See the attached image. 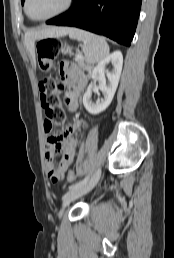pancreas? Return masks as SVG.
I'll use <instances>...</instances> for the list:
<instances>
[{
	"label": "pancreas",
	"instance_id": "obj_1",
	"mask_svg": "<svg viewBox=\"0 0 174 258\" xmlns=\"http://www.w3.org/2000/svg\"><path fill=\"white\" fill-rule=\"evenodd\" d=\"M78 65L85 71H88L89 73L92 71V66L86 65L83 61V59H75Z\"/></svg>",
	"mask_w": 174,
	"mask_h": 258
}]
</instances>
